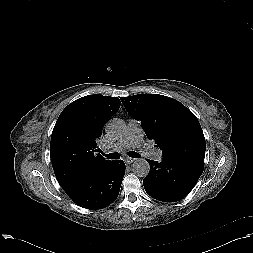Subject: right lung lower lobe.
Returning a JSON list of instances; mask_svg holds the SVG:
<instances>
[{
	"instance_id": "right-lung-lower-lobe-1",
	"label": "right lung lower lobe",
	"mask_w": 253,
	"mask_h": 253,
	"mask_svg": "<svg viewBox=\"0 0 253 253\" xmlns=\"http://www.w3.org/2000/svg\"><path fill=\"white\" fill-rule=\"evenodd\" d=\"M124 174V162L111 161L99 172L79 181L65 192L83 208L102 209L118 197Z\"/></svg>"
}]
</instances>
